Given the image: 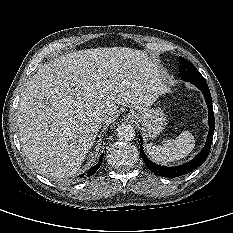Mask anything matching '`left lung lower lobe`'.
<instances>
[{
  "label": "left lung lower lobe",
  "mask_w": 233,
  "mask_h": 233,
  "mask_svg": "<svg viewBox=\"0 0 233 233\" xmlns=\"http://www.w3.org/2000/svg\"><path fill=\"white\" fill-rule=\"evenodd\" d=\"M191 83L193 85H195L196 87H198L203 92V95L205 97L206 104L208 107V111H209V117H208L209 132H208L206 144H205L204 148L202 149V151L193 160H191L190 162H188L186 164L179 165L176 167H164V166H160V165H157V164L151 162L146 157V155L142 149V146H141V149H140L141 157L143 158L147 167L155 175L162 176V177H168V178H174L177 176L185 175V174L191 172L192 170L196 169L197 167L201 166L208 157V154H209V151L211 148V143L213 140L214 129H215V119H214V113H213L211 94H210V90H209V87H208L206 81H204V82H191ZM140 141L142 143L141 138H140Z\"/></svg>",
  "instance_id": "obj_1"
}]
</instances>
